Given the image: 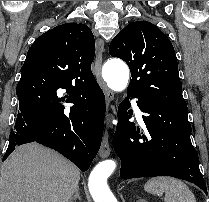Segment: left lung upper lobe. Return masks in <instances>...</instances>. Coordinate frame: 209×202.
I'll use <instances>...</instances> for the list:
<instances>
[{
  "label": "left lung upper lobe",
  "mask_w": 209,
  "mask_h": 202,
  "mask_svg": "<svg viewBox=\"0 0 209 202\" xmlns=\"http://www.w3.org/2000/svg\"><path fill=\"white\" fill-rule=\"evenodd\" d=\"M109 53L124 60L130 68L132 79L127 93L187 107L174 48L157 26L147 21L128 24L111 41Z\"/></svg>",
  "instance_id": "1"
}]
</instances>
